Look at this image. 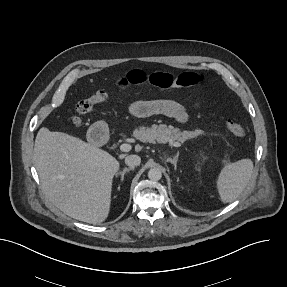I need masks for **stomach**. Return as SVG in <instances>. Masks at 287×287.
Here are the masks:
<instances>
[{"mask_svg":"<svg viewBox=\"0 0 287 287\" xmlns=\"http://www.w3.org/2000/svg\"><path fill=\"white\" fill-rule=\"evenodd\" d=\"M97 126H101V127L106 128V125L104 123H99V124H97Z\"/></svg>","mask_w":287,"mask_h":287,"instance_id":"0dacf381","label":"stomach"}]
</instances>
